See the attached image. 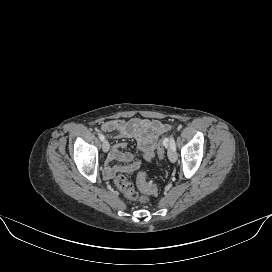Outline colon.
I'll use <instances>...</instances> for the list:
<instances>
[{
    "mask_svg": "<svg viewBox=\"0 0 272 272\" xmlns=\"http://www.w3.org/2000/svg\"><path fill=\"white\" fill-rule=\"evenodd\" d=\"M167 145V140L164 139L157 146V156L162 159L165 155V148ZM136 172V183L142 194H138L131 181L129 180V175ZM115 186L118 190L131 201H139L141 203H147L149 201V196L157 191L155 184L150 183L146 180L145 174L141 171H137V166H132L124 174H119L114 180Z\"/></svg>",
    "mask_w": 272,
    "mask_h": 272,
    "instance_id": "obj_1",
    "label": "colon"
}]
</instances>
